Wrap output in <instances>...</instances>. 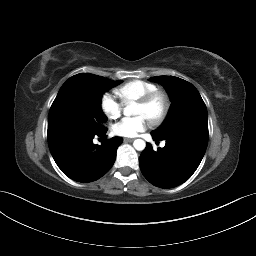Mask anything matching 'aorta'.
Segmentation results:
<instances>
[{"label": "aorta", "mask_w": 256, "mask_h": 256, "mask_svg": "<svg viewBox=\"0 0 256 256\" xmlns=\"http://www.w3.org/2000/svg\"><path fill=\"white\" fill-rule=\"evenodd\" d=\"M135 103H130L129 105H127L125 108H124V115L125 116H131L133 115V110L135 108ZM133 146L136 150L138 151H142L145 149L146 147V143L144 140L142 139H136L134 142H133Z\"/></svg>", "instance_id": "1"}]
</instances>
